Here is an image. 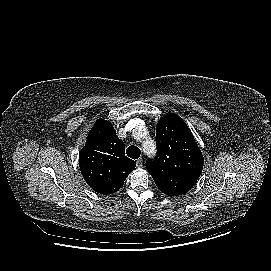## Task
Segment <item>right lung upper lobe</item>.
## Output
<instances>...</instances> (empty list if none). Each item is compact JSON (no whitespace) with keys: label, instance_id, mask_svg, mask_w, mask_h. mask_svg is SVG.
<instances>
[{"label":"right lung upper lobe","instance_id":"cb5924a9","mask_svg":"<svg viewBox=\"0 0 271 271\" xmlns=\"http://www.w3.org/2000/svg\"><path fill=\"white\" fill-rule=\"evenodd\" d=\"M79 166L92 189L112 194L122 187L136 162L125 156V145L112 124L100 118L80 152Z\"/></svg>","mask_w":271,"mask_h":271}]
</instances>
